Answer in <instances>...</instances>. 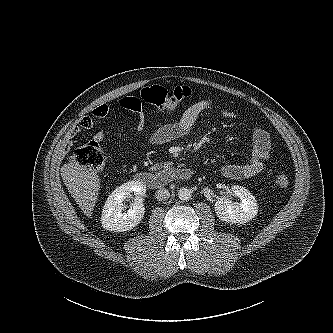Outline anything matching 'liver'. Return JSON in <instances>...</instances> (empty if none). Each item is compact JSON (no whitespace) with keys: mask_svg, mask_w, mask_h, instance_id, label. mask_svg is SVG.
I'll return each instance as SVG.
<instances>
[{"mask_svg":"<svg viewBox=\"0 0 333 333\" xmlns=\"http://www.w3.org/2000/svg\"><path fill=\"white\" fill-rule=\"evenodd\" d=\"M61 177L77 205L87 217H91L100 190L96 171L78 162H70L62 166Z\"/></svg>","mask_w":333,"mask_h":333,"instance_id":"obj_1","label":"liver"}]
</instances>
